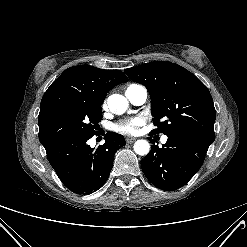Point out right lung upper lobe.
I'll return each instance as SVG.
<instances>
[{"label":"right lung upper lobe","mask_w":247,"mask_h":247,"mask_svg":"<svg viewBox=\"0 0 247 247\" xmlns=\"http://www.w3.org/2000/svg\"><path fill=\"white\" fill-rule=\"evenodd\" d=\"M127 81L128 78L120 70H104L90 65L70 67L50 85L43 95L39 120L55 108L86 101L102 103L112 88Z\"/></svg>","instance_id":"right-lung-upper-lobe-1"}]
</instances>
